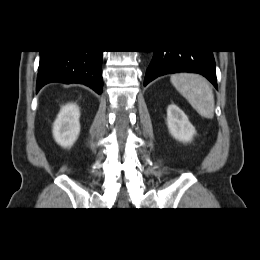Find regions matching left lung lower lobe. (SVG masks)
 <instances>
[{
  "instance_id": "obj_1",
  "label": "left lung lower lobe",
  "mask_w": 260,
  "mask_h": 260,
  "mask_svg": "<svg viewBox=\"0 0 260 260\" xmlns=\"http://www.w3.org/2000/svg\"><path fill=\"white\" fill-rule=\"evenodd\" d=\"M177 72L199 73L217 89L215 62L212 51H154L146 71L144 86L155 78Z\"/></svg>"
}]
</instances>
